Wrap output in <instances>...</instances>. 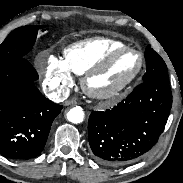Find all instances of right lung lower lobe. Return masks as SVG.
<instances>
[{"mask_svg": "<svg viewBox=\"0 0 183 183\" xmlns=\"http://www.w3.org/2000/svg\"><path fill=\"white\" fill-rule=\"evenodd\" d=\"M37 79L25 57L0 63V154L9 159L38 156L61 112L37 89Z\"/></svg>", "mask_w": 183, "mask_h": 183, "instance_id": "right-lung-lower-lobe-1", "label": "right lung lower lobe"}]
</instances>
